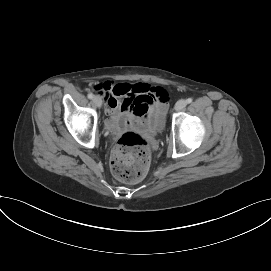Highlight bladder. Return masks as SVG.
Returning a JSON list of instances; mask_svg holds the SVG:
<instances>
[{"label": "bladder", "mask_w": 271, "mask_h": 271, "mask_svg": "<svg viewBox=\"0 0 271 271\" xmlns=\"http://www.w3.org/2000/svg\"><path fill=\"white\" fill-rule=\"evenodd\" d=\"M163 128V119L159 120V121H153V123L151 124V129L154 131H160Z\"/></svg>", "instance_id": "31cf9c89"}]
</instances>
